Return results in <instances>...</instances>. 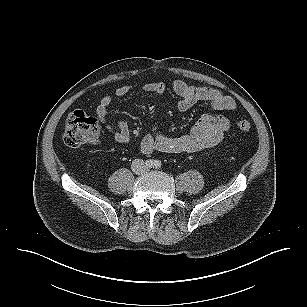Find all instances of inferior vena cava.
<instances>
[{"label":"inferior vena cava","mask_w":307,"mask_h":307,"mask_svg":"<svg viewBox=\"0 0 307 307\" xmlns=\"http://www.w3.org/2000/svg\"><path fill=\"white\" fill-rule=\"evenodd\" d=\"M131 169L136 174H143L147 170V166L142 159H135L132 162Z\"/></svg>","instance_id":"obj_1"}]
</instances>
